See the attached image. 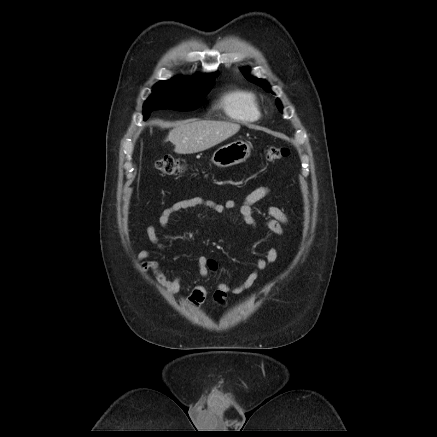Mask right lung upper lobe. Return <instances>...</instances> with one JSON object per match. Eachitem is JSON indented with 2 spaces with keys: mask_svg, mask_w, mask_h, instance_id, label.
Returning <instances> with one entry per match:
<instances>
[{
  "mask_svg": "<svg viewBox=\"0 0 437 437\" xmlns=\"http://www.w3.org/2000/svg\"><path fill=\"white\" fill-rule=\"evenodd\" d=\"M217 76H218V73H215L213 75L194 76L192 78L186 79V81L192 83L191 85H202V84H206V83L212 81ZM176 81H178V80H176Z\"/></svg>",
  "mask_w": 437,
  "mask_h": 437,
  "instance_id": "obj_1",
  "label": "right lung upper lobe"
}]
</instances>
